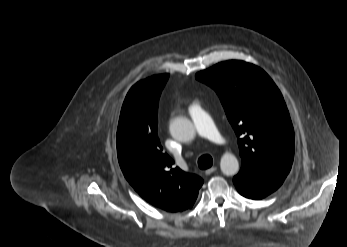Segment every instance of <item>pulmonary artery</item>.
<instances>
[{"label":"pulmonary artery","instance_id":"pulmonary-artery-1","mask_svg":"<svg viewBox=\"0 0 347 247\" xmlns=\"http://www.w3.org/2000/svg\"><path fill=\"white\" fill-rule=\"evenodd\" d=\"M188 112L200 137L207 138L218 144H223L225 142L210 115L198 102L191 104L188 108Z\"/></svg>","mask_w":347,"mask_h":247}]
</instances>
